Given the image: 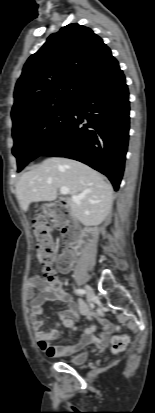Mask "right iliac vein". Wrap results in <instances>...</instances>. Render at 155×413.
I'll return each instance as SVG.
<instances>
[{"label": "right iliac vein", "mask_w": 155, "mask_h": 413, "mask_svg": "<svg viewBox=\"0 0 155 413\" xmlns=\"http://www.w3.org/2000/svg\"><path fill=\"white\" fill-rule=\"evenodd\" d=\"M85 290H86L87 301L88 303H91L94 298V291L92 287L88 284L85 285Z\"/></svg>", "instance_id": "right-iliac-vein-1"}]
</instances>
